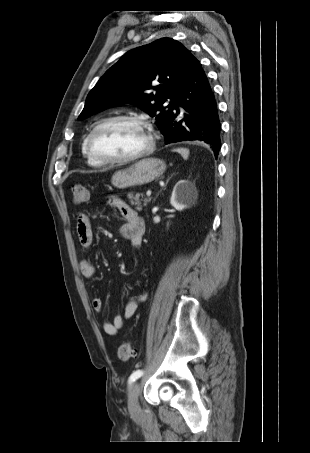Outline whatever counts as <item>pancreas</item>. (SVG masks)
I'll use <instances>...</instances> for the list:
<instances>
[{
    "label": "pancreas",
    "instance_id": "1",
    "mask_svg": "<svg viewBox=\"0 0 310 453\" xmlns=\"http://www.w3.org/2000/svg\"><path fill=\"white\" fill-rule=\"evenodd\" d=\"M128 199L130 200V203L131 205H135L136 206V209L138 211L142 210V203L143 202V206H146L147 203L150 201L149 198H145L144 195L142 193H129L128 194Z\"/></svg>",
    "mask_w": 310,
    "mask_h": 453
}]
</instances>
